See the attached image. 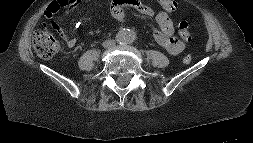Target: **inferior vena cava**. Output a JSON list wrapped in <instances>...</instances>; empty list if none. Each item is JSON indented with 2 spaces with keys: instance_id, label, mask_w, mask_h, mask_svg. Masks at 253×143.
<instances>
[{
  "instance_id": "602c4592",
  "label": "inferior vena cava",
  "mask_w": 253,
  "mask_h": 143,
  "mask_svg": "<svg viewBox=\"0 0 253 143\" xmlns=\"http://www.w3.org/2000/svg\"><path fill=\"white\" fill-rule=\"evenodd\" d=\"M113 41H105V43H107V44H110V43H112Z\"/></svg>"
}]
</instances>
